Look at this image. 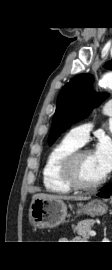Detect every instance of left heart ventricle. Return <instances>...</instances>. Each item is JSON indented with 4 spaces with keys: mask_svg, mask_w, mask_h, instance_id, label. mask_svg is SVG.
I'll return each mask as SVG.
<instances>
[{
    "mask_svg": "<svg viewBox=\"0 0 112 270\" xmlns=\"http://www.w3.org/2000/svg\"><path fill=\"white\" fill-rule=\"evenodd\" d=\"M77 173L80 181L86 184L95 183L103 177L92 152L82 155L77 165Z\"/></svg>",
    "mask_w": 112,
    "mask_h": 270,
    "instance_id": "1",
    "label": "left heart ventricle"
}]
</instances>
